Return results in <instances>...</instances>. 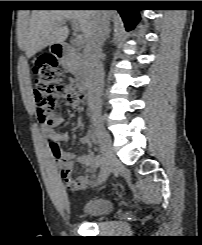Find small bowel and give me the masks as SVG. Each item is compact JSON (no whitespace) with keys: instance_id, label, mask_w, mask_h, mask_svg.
I'll list each match as a JSON object with an SVG mask.
<instances>
[{"instance_id":"small-bowel-1","label":"small bowel","mask_w":202,"mask_h":245,"mask_svg":"<svg viewBox=\"0 0 202 245\" xmlns=\"http://www.w3.org/2000/svg\"><path fill=\"white\" fill-rule=\"evenodd\" d=\"M84 103V97L79 96V105ZM63 122V116L55 112L53 114V121L51 124H44L43 131L45 133L48 143L53 139H58L59 142H68L70 136L67 132L54 133L53 127L60 125ZM83 143L90 146L91 138L88 134L83 137ZM56 167L59 169L60 175L64 180L65 186L71 192H77L88 187L92 180L97 175L98 169L94 159L93 153L89 150L84 155H78L74 150H62L58 155H53ZM75 162L81 163L85 168L86 172L76 178L72 177Z\"/></svg>"}]
</instances>
